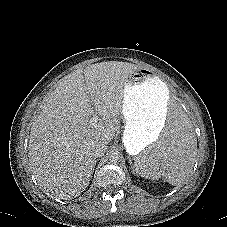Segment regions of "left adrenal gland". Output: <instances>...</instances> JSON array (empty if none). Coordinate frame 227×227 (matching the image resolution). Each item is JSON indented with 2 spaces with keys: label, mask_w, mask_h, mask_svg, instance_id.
Segmentation results:
<instances>
[{
  "label": "left adrenal gland",
  "mask_w": 227,
  "mask_h": 227,
  "mask_svg": "<svg viewBox=\"0 0 227 227\" xmlns=\"http://www.w3.org/2000/svg\"><path fill=\"white\" fill-rule=\"evenodd\" d=\"M129 163H130V165H131V168L134 169V166H132V161H131V160L129 161ZM134 171H135V170H133V173H135Z\"/></svg>",
  "instance_id": "obj_1"
}]
</instances>
